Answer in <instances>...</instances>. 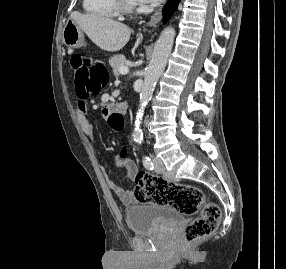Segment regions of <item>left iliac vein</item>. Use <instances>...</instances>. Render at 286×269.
Here are the masks:
<instances>
[{
	"label": "left iliac vein",
	"mask_w": 286,
	"mask_h": 269,
	"mask_svg": "<svg viewBox=\"0 0 286 269\" xmlns=\"http://www.w3.org/2000/svg\"><path fill=\"white\" fill-rule=\"evenodd\" d=\"M154 164H155V170L158 173H164L165 172V166L160 158H154Z\"/></svg>",
	"instance_id": "obj_1"
}]
</instances>
